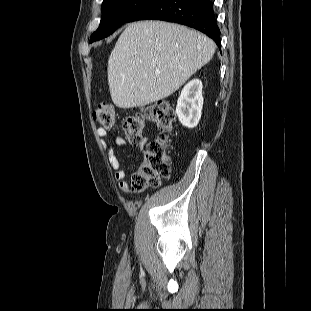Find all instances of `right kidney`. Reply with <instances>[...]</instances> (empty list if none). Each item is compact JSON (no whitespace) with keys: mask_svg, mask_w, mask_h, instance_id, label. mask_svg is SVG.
Masks as SVG:
<instances>
[{"mask_svg":"<svg viewBox=\"0 0 311 311\" xmlns=\"http://www.w3.org/2000/svg\"><path fill=\"white\" fill-rule=\"evenodd\" d=\"M203 107L202 82L193 79L181 91L177 101L176 114L180 123L188 128L197 126Z\"/></svg>","mask_w":311,"mask_h":311,"instance_id":"right-kidney-1","label":"right kidney"}]
</instances>
